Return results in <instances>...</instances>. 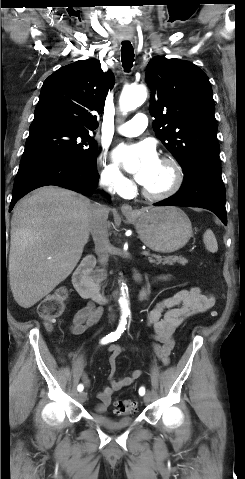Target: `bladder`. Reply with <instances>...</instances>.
I'll return each instance as SVG.
<instances>
[{
	"label": "bladder",
	"instance_id": "bladder-1",
	"mask_svg": "<svg viewBox=\"0 0 245 479\" xmlns=\"http://www.w3.org/2000/svg\"><path fill=\"white\" fill-rule=\"evenodd\" d=\"M91 418L96 424L108 430H119L127 428L134 421V418L131 416L123 418H113L107 415L92 414Z\"/></svg>",
	"mask_w": 245,
	"mask_h": 479
}]
</instances>
